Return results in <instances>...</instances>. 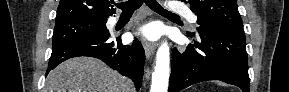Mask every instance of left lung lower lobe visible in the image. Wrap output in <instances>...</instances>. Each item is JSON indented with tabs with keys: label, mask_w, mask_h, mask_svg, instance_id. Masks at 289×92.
<instances>
[{
	"label": "left lung lower lobe",
	"mask_w": 289,
	"mask_h": 92,
	"mask_svg": "<svg viewBox=\"0 0 289 92\" xmlns=\"http://www.w3.org/2000/svg\"><path fill=\"white\" fill-rule=\"evenodd\" d=\"M197 31L196 38L188 34L194 44L184 53L173 51L168 92L206 80H221L249 92L244 31L219 25H201Z\"/></svg>",
	"instance_id": "obj_1"
}]
</instances>
